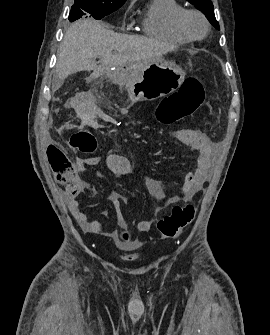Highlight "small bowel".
Returning <instances> with one entry per match:
<instances>
[{
  "label": "small bowel",
  "instance_id": "1",
  "mask_svg": "<svg viewBox=\"0 0 270 335\" xmlns=\"http://www.w3.org/2000/svg\"><path fill=\"white\" fill-rule=\"evenodd\" d=\"M191 136V145L199 152L197 167L185 175L182 189L177 195L166 198L162 186L157 180L153 178L145 180L147 190L160 200L162 206L190 200L210 178L214 154L218 147L217 143L211 141L200 131L192 132ZM46 149L47 154L44 159L48 161V165H53L52 171L56 173V178H64L67 183L65 194L68 208L81 228L91 234L115 235L116 230H106L102 222L89 220L87 214L80 208L78 200V197L87 188V184L80 178L79 174L83 173L87 167L97 165L100 162V157L79 158L76 161V158H72L71 154H66V149H60L59 144H47ZM106 164L110 171L119 177L128 176L137 168L127 157L115 152L106 156ZM109 201L114 208L118 227L126 228L127 221L122 205L127 204V197L117 191H112L109 194ZM102 214L106 216L107 212L104 211ZM152 224V219H144L138 223L137 229L141 233H146L151 229Z\"/></svg>",
  "mask_w": 270,
  "mask_h": 335
}]
</instances>
